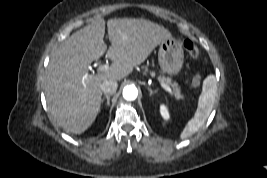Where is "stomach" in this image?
Wrapping results in <instances>:
<instances>
[{
	"label": "stomach",
	"instance_id": "0dacf381",
	"mask_svg": "<svg viewBox=\"0 0 267 178\" xmlns=\"http://www.w3.org/2000/svg\"><path fill=\"white\" fill-rule=\"evenodd\" d=\"M158 59L163 73L170 76L177 75L184 62V51L181 43L172 36L161 41Z\"/></svg>",
	"mask_w": 267,
	"mask_h": 178
}]
</instances>
